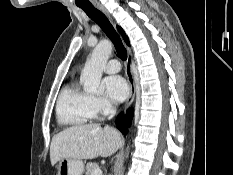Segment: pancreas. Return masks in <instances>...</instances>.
Here are the masks:
<instances>
[{
  "label": "pancreas",
  "mask_w": 233,
  "mask_h": 175,
  "mask_svg": "<svg viewBox=\"0 0 233 175\" xmlns=\"http://www.w3.org/2000/svg\"><path fill=\"white\" fill-rule=\"evenodd\" d=\"M98 164L89 162L86 166V175H93L95 169H98Z\"/></svg>",
  "instance_id": "cf45deb5"
}]
</instances>
